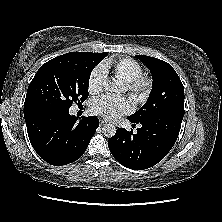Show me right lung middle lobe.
Wrapping results in <instances>:
<instances>
[{
	"label": "right lung middle lobe",
	"instance_id": "dd1d6c3e",
	"mask_svg": "<svg viewBox=\"0 0 222 222\" xmlns=\"http://www.w3.org/2000/svg\"><path fill=\"white\" fill-rule=\"evenodd\" d=\"M108 52H71L43 64L31 81L24 109L36 113L69 110L88 97L92 70Z\"/></svg>",
	"mask_w": 222,
	"mask_h": 222
}]
</instances>
